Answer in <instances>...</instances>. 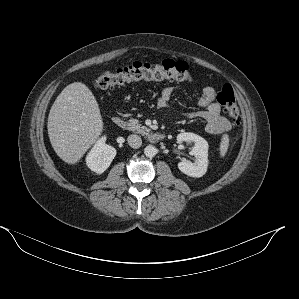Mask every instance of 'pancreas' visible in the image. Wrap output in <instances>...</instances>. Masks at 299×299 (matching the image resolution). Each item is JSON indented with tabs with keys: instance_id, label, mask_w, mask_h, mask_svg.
<instances>
[{
	"instance_id": "cf45deb5",
	"label": "pancreas",
	"mask_w": 299,
	"mask_h": 299,
	"mask_svg": "<svg viewBox=\"0 0 299 299\" xmlns=\"http://www.w3.org/2000/svg\"><path fill=\"white\" fill-rule=\"evenodd\" d=\"M127 130L136 132L138 134L147 135L151 130L145 126H141L140 122L137 119H130L126 123Z\"/></svg>"
}]
</instances>
